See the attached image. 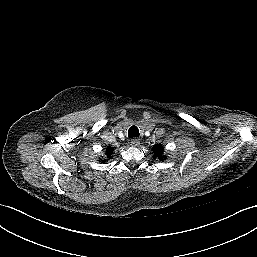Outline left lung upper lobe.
I'll return each mask as SVG.
<instances>
[{"label": "left lung upper lobe", "mask_w": 257, "mask_h": 257, "mask_svg": "<svg viewBox=\"0 0 257 257\" xmlns=\"http://www.w3.org/2000/svg\"><path fill=\"white\" fill-rule=\"evenodd\" d=\"M153 152H154L155 157H161L163 154V147L159 144L155 145L153 147Z\"/></svg>", "instance_id": "1"}]
</instances>
